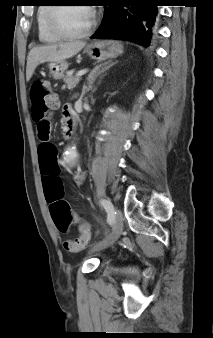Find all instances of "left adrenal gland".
Masks as SVG:
<instances>
[{"label":"left adrenal gland","instance_id":"1","mask_svg":"<svg viewBox=\"0 0 213 338\" xmlns=\"http://www.w3.org/2000/svg\"><path fill=\"white\" fill-rule=\"evenodd\" d=\"M115 63L116 62L109 61L103 64L96 65L94 69L89 73L88 78H87L89 87H91V85L94 83L96 78L101 73H104L106 70L110 69Z\"/></svg>","mask_w":213,"mask_h":338}]
</instances>
